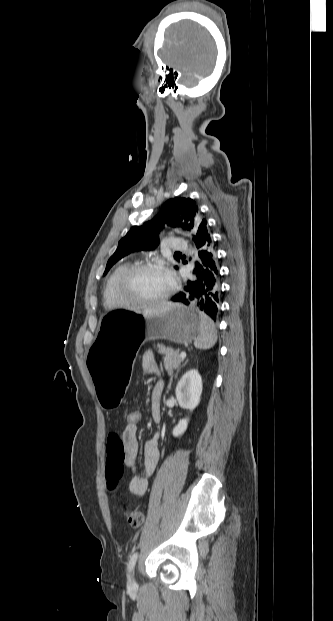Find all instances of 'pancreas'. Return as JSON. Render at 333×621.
Segmentation results:
<instances>
[{"label":"pancreas","instance_id":"obj_1","mask_svg":"<svg viewBox=\"0 0 333 621\" xmlns=\"http://www.w3.org/2000/svg\"><path fill=\"white\" fill-rule=\"evenodd\" d=\"M158 352L164 355V367L170 375H172L174 370L179 369L183 361V359L179 357L180 350H173L160 344L158 345Z\"/></svg>","mask_w":333,"mask_h":621}]
</instances>
